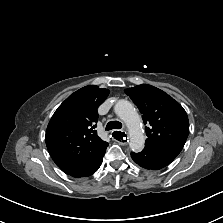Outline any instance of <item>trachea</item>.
Masks as SVG:
<instances>
[{
	"instance_id": "trachea-1",
	"label": "trachea",
	"mask_w": 223,
	"mask_h": 223,
	"mask_svg": "<svg viewBox=\"0 0 223 223\" xmlns=\"http://www.w3.org/2000/svg\"><path fill=\"white\" fill-rule=\"evenodd\" d=\"M122 128V123L119 121H110L106 125V130H112V129H121Z\"/></svg>"
}]
</instances>
